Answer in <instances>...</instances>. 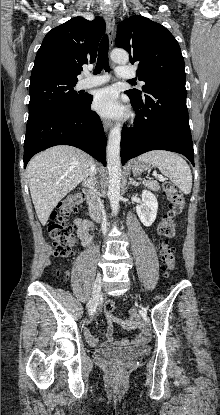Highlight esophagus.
Returning <instances> with one entry per match:
<instances>
[{"label": "esophagus", "mask_w": 220, "mask_h": 415, "mask_svg": "<svg viewBox=\"0 0 220 415\" xmlns=\"http://www.w3.org/2000/svg\"><path fill=\"white\" fill-rule=\"evenodd\" d=\"M106 15V24H107V35L109 38L110 45H113V38H114V28H115V18H114V11L111 7L107 6L105 10ZM111 126L110 121L103 120V127L105 131H108Z\"/></svg>", "instance_id": "34e87169"}]
</instances>
